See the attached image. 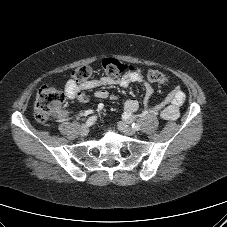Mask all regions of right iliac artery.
I'll list each match as a JSON object with an SVG mask.
<instances>
[{"instance_id": "82829eb1", "label": "right iliac artery", "mask_w": 227, "mask_h": 227, "mask_svg": "<svg viewBox=\"0 0 227 227\" xmlns=\"http://www.w3.org/2000/svg\"><path fill=\"white\" fill-rule=\"evenodd\" d=\"M96 119H97V116H91V117H89L88 120L86 121V125L87 126L93 125L95 123Z\"/></svg>"}]
</instances>
